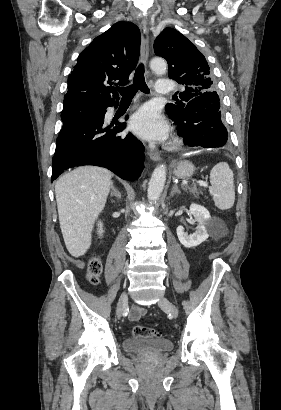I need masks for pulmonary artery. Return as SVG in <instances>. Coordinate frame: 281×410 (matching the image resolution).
Here are the masks:
<instances>
[{"label":"pulmonary artery","mask_w":281,"mask_h":410,"mask_svg":"<svg viewBox=\"0 0 281 410\" xmlns=\"http://www.w3.org/2000/svg\"><path fill=\"white\" fill-rule=\"evenodd\" d=\"M155 90L160 94H168L172 91V82L169 80H160L156 83Z\"/></svg>","instance_id":"e3ab8cb5"}]
</instances>
